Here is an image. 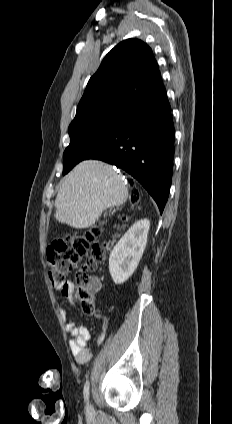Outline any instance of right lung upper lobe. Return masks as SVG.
I'll return each instance as SVG.
<instances>
[{
  "label": "right lung upper lobe",
  "mask_w": 232,
  "mask_h": 424,
  "mask_svg": "<svg viewBox=\"0 0 232 424\" xmlns=\"http://www.w3.org/2000/svg\"><path fill=\"white\" fill-rule=\"evenodd\" d=\"M162 87L151 48L141 40L127 39L105 56L90 78L76 113L110 103L133 105Z\"/></svg>",
  "instance_id": "right-lung-upper-lobe-1"
}]
</instances>
